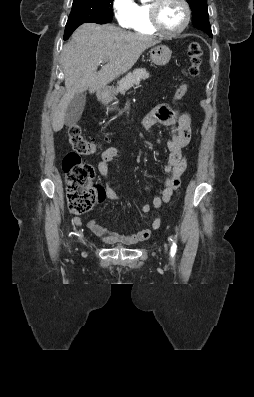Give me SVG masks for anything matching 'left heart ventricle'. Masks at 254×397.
<instances>
[{
  "label": "left heart ventricle",
  "mask_w": 254,
  "mask_h": 397,
  "mask_svg": "<svg viewBox=\"0 0 254 397\" xmlns=\"http://www.w3.org/2000/svg\"><path fill=\"white\" fill-rule=\"evenodd\" d=\"M184 19V8L177 0H166L160 8L159 20L168 31L178 29Z\"/></svg>",
  "instance_id": "obj_1"
}]
</instances>
